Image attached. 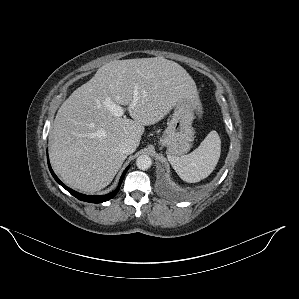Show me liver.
Wrapping results in <instances>:
<instances>
[{"mask_svg":"<svg viewBox=\"0 0 299 299\" xmlns=\"http://www.w3.org/2000/svg\"><path fill=\"white\" fill-rule=\"evenodd\" d=\"M184 99L201 105L194 80L174 61L154 57L106 63L56 114L49 148L55 172L81 192L103 189L127 158L121 141L131 139L138 147L144 126L159 122ZM107 100L127 106L133 120L116 116Z\"/></svg>","mask_w":299,"mask_h":299,"instance_id":"1","label":"liver"}]
</instances>
